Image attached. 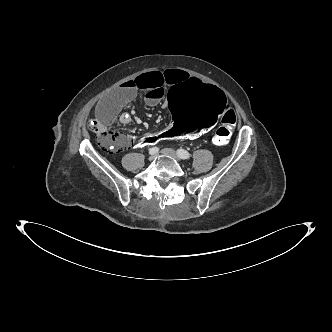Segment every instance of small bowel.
I'll list each match as a JSON object with an SVG mask.
<instances>
[{
    "label": "small bowel",
    "instance_id": "small-bowel-1",
    "mask_svg": "<svg viewBox=\"0 0 332 332\" xmlns=\"http://www.w3.org/2000/svg\"><path fill=\"white\" fill-rule=\"evenodd\" d=\"M192 78L194 77L180 69L154 70L142 73L122 83L104 96L96 106L95 118L103 125L111 123L122 107L132 101L139 91L145 92V103L148 106H155L164 98L167 88L182 84ZM119 120L123 124H128L131 118L123 114L119 117ZM132 140L128 135L122 137L125 145H130Z\"/></svg>",
    "mask_w": 332,
    "mask_h": 332
}]
</instances>
